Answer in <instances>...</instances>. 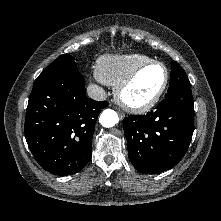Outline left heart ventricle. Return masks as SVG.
<instances>
[{
  "label": "left heart ventricle",
  "instance_id": "b2bd125f",
  "mask_svg": "<svg viewBox=\"0 0 221 221\" xmlns=\"http://www.w3.org/2000/svg\"><path fill=\"white\" fill-rule=\"evenodd\" d=\"M164 80V70L155 65L144 70L134 84L125 92V97L133 102H143L152 97Z\"/></svg>",
  "mask_w": 221,
  "mask_h": 221
}]
</instances>
